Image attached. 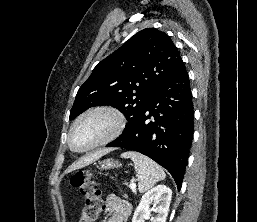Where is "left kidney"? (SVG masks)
<instances>
[{
    "mask_svg": "<svg viewBox=\"0 0 257 222\" xmlns=\"http://www.w3.org/2000/svg\"><path fill=\"white\" fill-rule=\"evenodd\" d=\"M171 198L172 191L165 185H157L147 191L142 196L140 203L134 212L132 222H144V218L152 211L157 213L156 217L151 218L152 222H166ZM152 202H154V206L153 208H150Z\"/></svg>",
    "mask_w": 257,
    "mask_h": 222,
    "instance_id": "obj_1",
    "label": "left kidney"
}]
</instances>
